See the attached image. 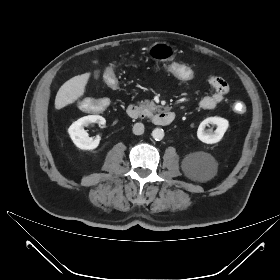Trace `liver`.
Wrapping results in <instances>:
<instances>
[{"mask_svg":"<svg viewBox=\"0 0 280 280\" xmlns=\"http://www.w3.org/2000/svg\"><path fill=\"white\" fill-rule=\"evenodd\" d=\"M90 73L75 76L66 81L57 92L55 98V108L57 110L74 103L84 95L85 87L88 83Z\"/></svg>","mask_w":280,"mask_h":280,"instance_id":"6515ba94","label":"liver"}]
</instances>
